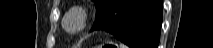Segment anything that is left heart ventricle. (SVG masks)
Masks as SVG:
<instances>
[{
  "mask_svg": "<svg viewBox=\"0 0 213 48\" xmlns=\"http://www.w3.org/2000/svg\"><path fill=\"white\" fill-rule=\"evenodd\" d=\"M67 25H68V27H69L70 29H74V28L77 26V22H76V20H74V19H70V20L68 21Z\"/></svg>",
  "mask_w": 213,
  "mask_h": 48,
  "instance_id": "obj_1",
  "label": "left heart ventricle"
}]
</instances>
